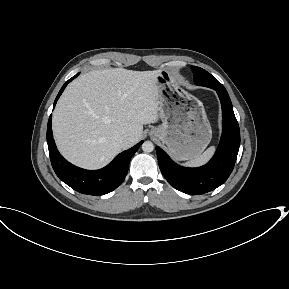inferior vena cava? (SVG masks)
I'll list each match as a JSON object with an SVG mask.
<instances>
[{
    "instance_id": "1",
    "label": "inferior vena cava",
    "mask_w": 289,
    "mask_h": 289,
    "mask_svg": "<svg viewBox=\"0 0 289 289\" xmlns=\"http://www.w3.org/2000/svg\"><path fill=\"white\" fill-rule=\"evenodd\" d=\"M126 136H124V135H122V136H119L118 137V142L120 143V144H123V143H125V141H126Z\"/></svg>"
}]
</instances>
